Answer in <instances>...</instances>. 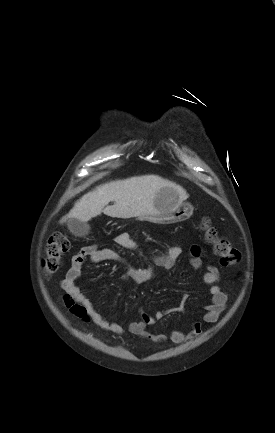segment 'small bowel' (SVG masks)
I'll use <instances>...</instances> for the list:
<instances>
[{
	"mask_svg": "<svg viewBox=\"0 0 275 433\" xmlns=\"http://www.w3.org/2000/svg\"><path fill=\"white\" fill-rule=\"evenodd\" d=\"M114 242L120 247L135 250L138 247L132 233L120 232L114 236ZM182 249L178 244L169 246L166 251L153 258V265L147 268H136L130 266L124 256L117 250L110 248H98L95 245L85 246L80 249L72 257L71 266L66 273L61 285L62 288L71 295L77 302L82 304L92 317L93 321L102 329L115 334H122L124 329L120 324L114 321L107 320L94 306V304L82 293L76 281L80 277L82 267L89 259L92 263L98 264L105 261H113L126 266V272L122 276L123 280H133L138 283H145L152 280L156 276L157 268L169 269L173 267L176 260L180 257ZM190 266L198 270L202 267L201 248L198 245L190 247ZM203 283L209 286V294L211 302L206 306V312L203 316V321L208 324L216 323L227 303V293L222 290L218 283L220 281V272L214 265H206V271L202 276ZM166 315L165 311H157L150 315L141 312V320L132 321L128 325L130 333L150 340L155 344H162L166 341V336L162 333L150 332L147 330L149 326H153L157 321L161 320ZM202 325L200 322H193L188 332L173 330L169 339L173 343H181L199 336L202 333Z\"/></svg>",
	"mask_w": 275,
	"mask_h": 433,
	"instance_id": "c3829d8e",
	"label": "small bowel"
}]
</instances>
